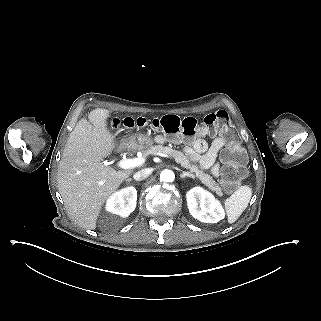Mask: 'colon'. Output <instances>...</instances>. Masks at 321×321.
Here are the masks:
<instances>
[{
  "mask_svg": "<svg viewBox=\"0 0 321 321\" xmlns=\"http://www.w3.org/2000/svg\"><path fill=\"white\" fill-rule=\"evenodd\" d=\"M121 125L138 129L151 127L160 129L170 135L182 134L186 137L219 133L227 143L226 148L221 153V160L224 163L221 177L225 189L228 192L233 191L246 175V153L225 111L210 113L204 117L202 122H198L192 117L180 118L176 115H164L153 119L144 117L125 118L123 120L116 119L112 122L113 127Z\"/></svg>",
  "mask_w": 321,
  "mask_h": 321,
  "instance_id": "colon-1",
  "label": "colon"
}]
</instances>
